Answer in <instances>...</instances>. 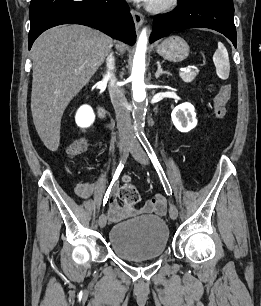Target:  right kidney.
Returning a JSON list of instances; mask_svg holds the SVG:
<instances>
[{"mask_svg":"<svg viewBox=\"0 0 261 306\" xmlns=\"http://www.w3.org/2000/svg\"><path fill=\"white\" fill-rule=\"evenodd\" d=\"M95 114L89 105L81 106L75 116L76 124L81 128H87L93 124Z\"/></svg>","mask_w":261,"mask_h":306,"instance_id":"1","label":"right kidney"}]
</instances>
